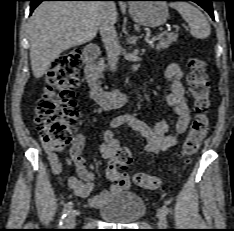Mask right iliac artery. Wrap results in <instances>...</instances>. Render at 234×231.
Instances as JSON below:
<instances>
[{
    "label": "right iliac artery",
    "instance_id": "obj_1",
    "mask_svg": "<svg viewBox=\"0 0 234 231\" xmlns=\"http://www.w3.org/2000/svg\"><path fill=\"white\" fill-rule=\"evenodd\" d=\"M72 205H73L72 202H68V203H66L64 205L63 212H62V218L60 220L59 227H62L63 220L65 219V217L67 216V214L70 212V210L72 208Z\"/></svg>",
    "mask_w": 234,
    "mask_h": 231
}]
</instances>
